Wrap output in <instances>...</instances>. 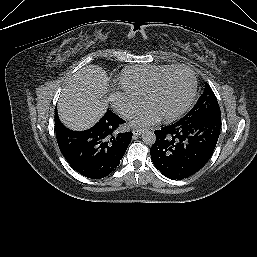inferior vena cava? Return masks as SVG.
Here are the masks:
<instances>
[{
	"instance_id": "obj_1",
	"label": "inferior vena cava",
	"mask_w": 257,
	"mask_h": 257,
	"mask_svg": "<svg viewBox=\"0 0 257 257\" xmlns=\"http://www.w3.org/2000/svg\"><path fill=\"white\" fill-rule=\"evenodd\" d=\"M134 114H135V111L133 109H130V108L125 109L122 113L123 117H125V118H130Z\"/></svg>"
}]
</instances>
